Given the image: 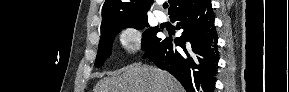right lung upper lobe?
<instances>
[{"label": "right lung upper lobe", "instance_id": "right-lung-upper-lobe-1", "mask_svg": "<svg viewBox=\"0 0 289 92\" xmlns=\"http://www.w3.org/2000/svg\"><path fill=\"white\" fill-rule=\"evenodd\" d=\"M204 0H169L168 14H174L196 7ZM152 4L153 0H149ZM150 4L147 0H105L102 7L101 30L121 22L134 21L147 18V9Z\"/></svg>", "mask_w": 289, "mask_h": 92}]
</instances>
